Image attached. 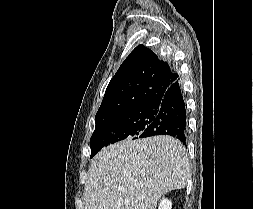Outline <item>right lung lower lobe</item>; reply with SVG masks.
I'll return each mask as SVG.
<instances>
[{
  "label": "right lung lower lobe",
  "mask_w": 253,
  "mask_h": 209,
  "mask_svg": "<svg viewBox=\"0 0 253 209\" xmlns=\"http://www.w3.org/2000/svg\"><path fill=\"white\" fill-rule=\"evenodd\" d=\"M157 114L139 138L170 135L186 142V107L178 80L171 84L164 95L151 105Z\"/></svg>",
  "instance_id": "obj_1"
}]
</instances>
